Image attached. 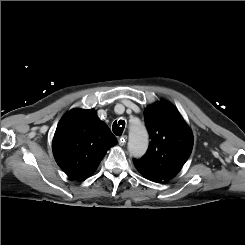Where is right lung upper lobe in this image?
<instances>
[{"mask_svg": "<svg viewBox=\"0 0 245 245\" xmlns=\"http://www.w3.org/2000/svg\"><path fill=\"white\" fill-rule=\"evenodd\" d=\"M116 143L117 139L95 110L76 108L59 121L53 138V154L69 177L82 180L94 173Z\"/></svg>", "mask_w": 245, "mask_h": 245, "instance_id": "cb5924a9", "label": "right lung upper lobe"}]
</instances>
